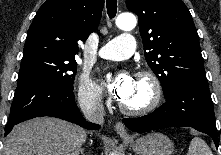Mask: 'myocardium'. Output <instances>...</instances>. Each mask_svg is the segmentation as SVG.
I'll return each mask as SVG.
<instances>
[{
    "label": "myocardium",
    "mask_w": 221,
    "mask_h": 155,
    "mask_svg": "<svg viewBox=\"0 0 221 155\" xmlns=\"http://www.w3.org/2000/svg\"><path fill=\"white\" fill-rule=\"evenodd\" d=\"M136 78L144 79L149 82L151 86V98L143 106L132 108L120 102L119 107L125 114L133 116L146 115L157 108L162 99V86L159 78L151 71L142 70L137 72Z\"/></svg>",
    "instance_id": "f54148a6"
}]
</instances>
